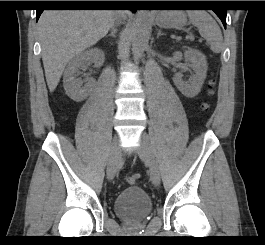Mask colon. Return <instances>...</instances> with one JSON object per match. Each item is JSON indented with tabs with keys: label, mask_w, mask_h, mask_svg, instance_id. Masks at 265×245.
<instances>
[{
	"label": "colon",
	"mask_w": 265,
	"mask_h": 245,
	"mask_svg": "<svg viewBox=\"0 0 265 245\" xmlns=\"http://www.w3.org/2000/svg\"><path fill=\"white\" fill-rule=\"evenodd\" d=\"M214 85H215L214 81H209L208 91L210 94L213 92ZM140 177H141L140 173H134L128 177V180H129V182L134 183V182L138 181L140 179Z\"/></svg>",
	"instance_id": "5ec220e1"
}]
</instances>
